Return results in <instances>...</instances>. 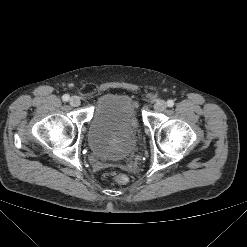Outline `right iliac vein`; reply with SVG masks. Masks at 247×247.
Returning a JSON list of instances; mask_svg holds the SVG:
<instances>
[{"mask_svg": "<svg viewBox=\"0 0 247 247\" xmlns=\"http://www.w3.org/2000/svg\"><path fill=\"white\" fill-rule=\"evenodd\" d=\"M81 103L80 98L77 96H73L70 98V104L74 107L79 106Z\"/></svg>", "mask_w": 247, "mask_h": 247, "instance_id": "right-iliac-vein-1", "label": "right iliac vein"}]
</instances>
